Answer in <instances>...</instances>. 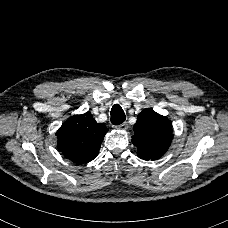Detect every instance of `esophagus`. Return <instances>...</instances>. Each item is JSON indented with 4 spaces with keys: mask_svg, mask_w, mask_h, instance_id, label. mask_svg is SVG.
Returning a JSON list of instances; mask_svg holds the SVG:
<instances>
[{
    "mask_svg": "<svg viewBox=\"0 0 228 228\" xmlns=\"http://www.w3.org/2000/svg\"><path fill=\"white\" fill-rule=\"evenodd\" d=\"M117 128L120 130H126L128 128V124L126 122H123L120 125H118Z\"/></svg>",
    "mask_w": 228,
    "mask_h": 228,
    "instance_id": "34e87169",
    "label": "esophagus"
}]
</instances>
